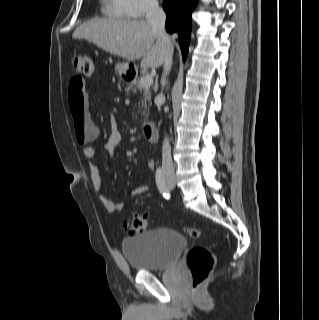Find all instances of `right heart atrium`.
Here are the masks:
<instances>
[{
	"label": "right heart atrium",
	"mask_w": 319,
	"mask_h": 320,
	"mask_svg": "<svg viewBox=\"0 0 319 320\" xmlns=\"http://www.w3.org/2000/svg\"><path fill=\"white\" fill-rule=\"evenodd\" d=\"M127 16L141 18L158 8V0H120Z\"/></svg>",
	"instance_id": "d8ad5b80"
}]
</instances>
